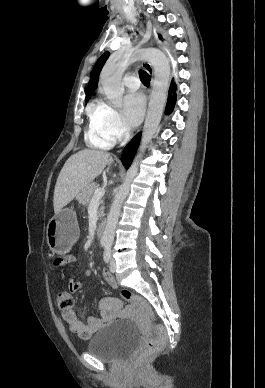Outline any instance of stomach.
<instances>
[{"label":"stomach","instance_id":"stomach-1","mask_svg":"<svg viewBox=\"0 0 265 388\" xmlns=\"http://www.w3.org/2000/svg\"><path fill=\"white\" fill-rule=\"evenodd\" d=\"M79 236L75 212L62 209L55 214L47 225V244L55 254L68 253Z\"/></svg>","mask_w":265,"mask_h":388}]
</instances>
